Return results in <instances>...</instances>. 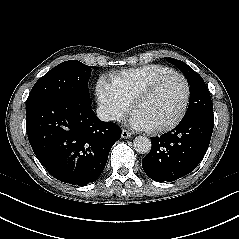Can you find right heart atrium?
I'll list each match as a JSON object with an SVG mask.
<instances>
[{
    "mask_svg": "<svg viewBox=\"0 0 239 239\" xmlns=\"http://www.w3.org/2000/svg\"><path fill=\"white\" fill-rule=\"evenodd\" d=\"M96 96L102 115L109 121H120L129 112V104L105 78L98 80Z\"/></svg>",
    "mask_w": 239,
    "mask_h": 239,
    "instance_id": "right-heart-atrium-1",
    "label": "right heart atrium"
}]
</instances>
